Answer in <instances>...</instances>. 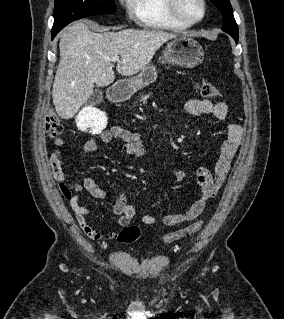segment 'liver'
<instances>
[{
	"mask_svg": "<svg viewBox=\"0 0 284 319\" xmlns=\"http://www.w3.org/2000/svg\"><path fill=\"white\" fill-rule=\"evenodd\" d=\"M177 36L137 29L96 33L84 22L66 27L59 34L60 61L52 89L57 114L72 118L93 93L94 84L106 87L114 81L111 58L120 57L119 74L132 76L149 65L166 41Z\"/></svg>",
	"mask_w": 284,
	"mask_h": 319,
	"instance_id": "liver-1",
	"label": "liver"
}]
</instances>
